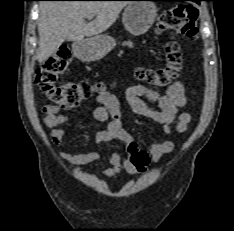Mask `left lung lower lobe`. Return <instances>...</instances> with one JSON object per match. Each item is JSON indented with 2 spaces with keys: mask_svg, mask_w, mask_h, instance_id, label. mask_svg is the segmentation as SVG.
I'll return each mask as SVG.
<instances>
[{
  "mask_svg": "<svg viewBox=\"0 0 234 231\" xmlns=\"http://www.w3.org/2000/svg\"><path fill=\"white\" fill-rule=\"evenodd\" d=\"M154 1H157V0H154ZM188 1H193V2L199 3L200 1H203V0H188Z\"/></svg>",
  "mask_w": 234,
  "mask_h": 231,
  "instance_id": "1",
  "label": "left lung lower lobe"
}]
</instances>
